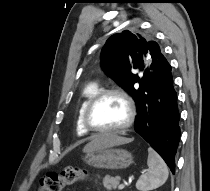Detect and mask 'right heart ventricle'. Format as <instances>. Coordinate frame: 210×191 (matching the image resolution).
I'll return each mask as SVG.
<instances>
[{
  "label": "right heart ventricle",
  "mask_w": 210,
  "mask_h": 191,
  "mask_svg": "<svg viewBox=\"0 0 210 191\" xmlns=\"http://www.w3.org/2000/svg\"><path fill=\"white\" fill-rule=\"evenodd\" d=\"M97 92H99V87L96 83L87 84L82 91V99L78 108L77 120H76V131L80 135H86L89 133V131L85 128L83 124L82 117L86 105Z\"/></svg>",
  "instance_id": "1"
}]
</instances>
